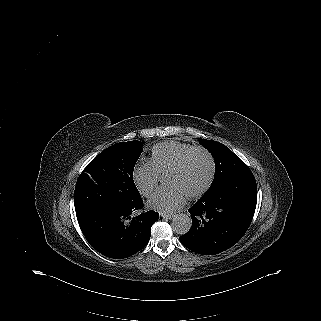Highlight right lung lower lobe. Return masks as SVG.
<instances>
[{"label": "right lung lower lobe", "instance_id": "1", "mask_svg": "<svg viewBox=\"0 0 321 321\" xmlns=\"http://www.w3.org/2000/svg\"><path fill=\"white\" fill-rule=\"evenodd\" d=\"M143 208L142 199L132 205H109L76 212L80 229L89 244L101 254L122 259L140 251L151 236V226L159 219L154 211L132 217Z\"/></svg>", "mask_w": 321, "mask_h": 321}]
</instances>
